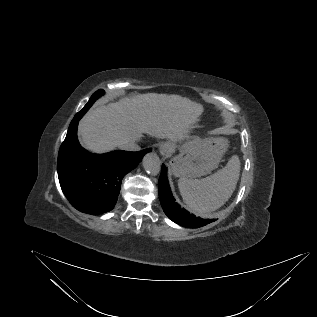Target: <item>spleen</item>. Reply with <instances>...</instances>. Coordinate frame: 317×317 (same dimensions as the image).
I'll return each mask as SVG.
<instances>
[{"label":"spleen","mask_w":317,"mask_h":317,"mask_svg":"<svg viewBox=\"0 0 317 317\" xmlns=\"http://www.w3.org/2000/svg\"><path fill=\"white\" fill-rule=\"evenodd\" d=\"M240 175V160L234 155L226 166L203 179L180 178L178 187L185 204L198 214L224 205L233 194Z\"/></svg>","instance_id":"1"}]
</instances>
